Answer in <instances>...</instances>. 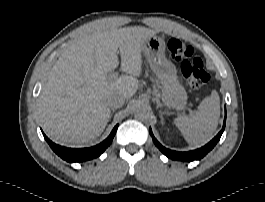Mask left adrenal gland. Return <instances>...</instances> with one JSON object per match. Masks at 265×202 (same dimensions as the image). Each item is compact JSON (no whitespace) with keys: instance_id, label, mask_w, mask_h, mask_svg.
<instances>
[{"instance_id":"1","label":"left adrenal gland","mask_w":265,"mask_h":202,"mask_svg":"<svg viewBox=\"0 0 265 202\" xmlns=\"http://www.w3.org/2000/svg\"><path fill=\"white\" fill-rule=\"evenodd\" d=\"M160 118H161V123H164V119H163L161 111H160Z\"/></svg>"}]
</instances>
